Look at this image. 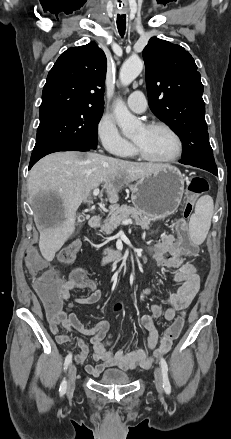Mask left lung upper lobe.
<instances>
[{"label": "left lung upper lobe", "instance_id": "left-lung-upper-lobe-1", "mask_svg": "<svg viewBox=\"0 0 231 439\" xmlns=\"http://www.w3.org/2000/svg\"><path fill=\"white\" fill-rule=\"evenodd\" d=\"M143 58L150 109L180 136V163L216 168L194 59L183 47L156 37L144 48Z\"/></svg>", "mask_w": 231, "mask_h": 439}]
</instances>
